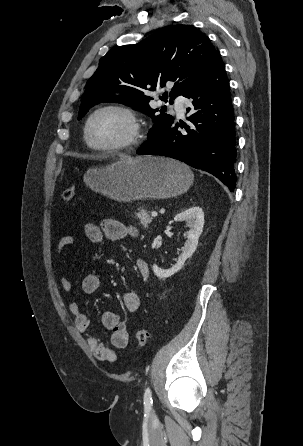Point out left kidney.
<instances>
[{
	"instance_id": "left-kidney-1",
	"label": "left kidney",
	"mask_w": 303,
	"mask_h": 446,
	"mask_svg": "<svg viewBox=\"0 0 303 446\" xmlns=\"http://www.w3.org/2000/svg\"><path fill=\"white\" fill-rule=\"evenodd\" d=\"M175 222L186 221L190 230L187 232V241L184 244L183 251L178 257L177 263L170 269H161L156 264L152 266L154 274L160 278L165 279L182 269L185 261L190 258L195 252L198 239L202 233L204 226V213L198 206H193L174 217Z\"/></svg>"
}]
</instances>
